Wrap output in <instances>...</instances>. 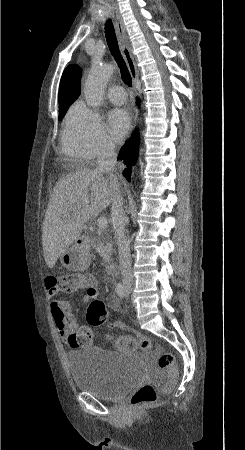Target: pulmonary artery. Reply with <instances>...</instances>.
I'll list each match as a JSON object with an SVG mask.
<instances>
[{"mask_svg":"<svg viewBox=\"0 0 245 450\" xmlns=\"http://www.w3.org/2000/svg\"><path fill=\"white\" fill-rule=\"evenodd\" d=\"M107 97L114 104H123L126 101V94L122 86L113 84L107 91Z\"/></svg>","mask_w":245,"mask_h":450,"instance_id":"obj_1","label":"pulmonary artery"}]
</instances>
